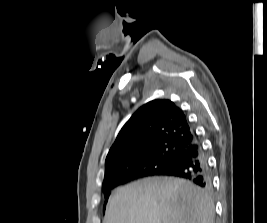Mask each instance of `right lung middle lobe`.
Listing matches in <instances>:
<instances>
[{"instance_id": "dd1d6c3e", "label": "right lung middle lobe", "mask_w": 267, "mask_h": 223, "mask_svg": "<svg viewBox=\"0 0 267 223\" xmlns=\"http://www.w3.org/2000/svg\"><path fill=\"white\" fill-rule=\"evenodd\" d=\"M183 153V150L175 145H165L155 149L149 157L136 160L130 166L133 171H144L151 175L163 172L173 164ZM110 192L105 194L106 202Z\"/></svg>"}]
</instances>
